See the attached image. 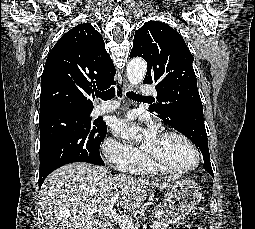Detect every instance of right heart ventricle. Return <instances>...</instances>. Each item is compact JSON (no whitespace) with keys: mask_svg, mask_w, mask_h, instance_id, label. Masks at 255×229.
<instances>
[{"mask_svg":"<svg viewBox=\"0 0 255 229\" xmlns=\"http://www.w3.org/2000/svg\"><path fill=\"white\" fill-rule=\"evenodd\" d=\"M124 171L136 174V175H163L166 174L160 170H157L150 166L140 155L138 158L132 162L126 164L123 168Z\"/></svg>","mask_w":255,"mask_h":229,"instance_id":"right-heart-ventricle-1","label":"right heart ventricle"}]
</instances>
